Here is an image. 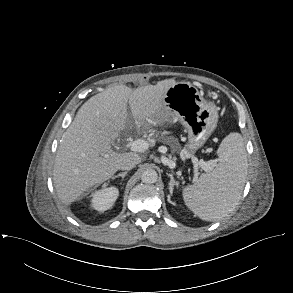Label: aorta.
I'll list each match as a JSON object with an SVG mask.
<instances>
[{"instance_id": "obj_1", "label": "aorta", "mask_w": 293, "mask_h": 293, "mask_svg": "<svg viewBox=\"0 0 293 293\" xmlns=\"http://www.w3.org/2000/svg\"><path fill=\"white\" fill-rule=\"evenodd\" d=\"M158 179V174L154 169H146L141 174V180L143 183L152 184L155 183Z\"/></svg>"}]
</instances>
